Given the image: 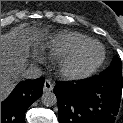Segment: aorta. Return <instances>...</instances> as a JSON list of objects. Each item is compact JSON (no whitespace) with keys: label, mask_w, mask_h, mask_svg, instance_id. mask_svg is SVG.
Instances as JSON below:
<instances>
[{"label":"aorta","mask_w":123,"mask_h":123,"mask_svg":"<svg viewBox=\"0 0 123 123\" xmlns=\"http://www.w3.org/2000/svg\"><path fill=\"white\" fill-rule=\"evenodd\" d=\"M41 101L44 106L51 107L57 103L56 95L51 91L43 92Z\"/></svg>","instance_id":"762f6f07"}]
</instances>
